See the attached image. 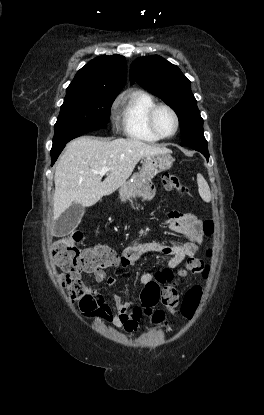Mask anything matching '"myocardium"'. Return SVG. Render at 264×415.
I'll use <instances>...</instances> for the list:
<instances>
[{
  "label": "myocardium",
  "mask_w": 264,
  "mask_h": 415,
  "mask_svg": "<svg viewBox=\"0 0 264 415\" xmlns=\"http://www.w3.org/2000/svg\"><path fill=\"white\" fill-rule=\"evenodd\" d=\"M161 108H165V109H167L172 115H173V117H174V120H175V129H174V131L171 133V134H169V135H161L160 133H159V131L157 130V127H156V123H155V116H156V113H157V111L159 110V109H161ZM147 124H148V127H149V129H150V131L158 138V139H170V138H172V137H174L176 134H177V132H178V130H179V126H180V120H179V116H178V114H177V112L175 111V109L174 108H172L170 105H168V104H164V103H160V104H156V105H154L150 110H149V112H148V114H147Z\"/></svg>",
  "instance_id": "1"
}]
</instances>
